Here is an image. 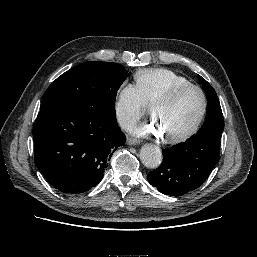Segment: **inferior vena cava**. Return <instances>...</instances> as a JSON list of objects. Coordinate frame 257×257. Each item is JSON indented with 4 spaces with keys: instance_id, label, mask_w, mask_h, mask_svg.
<instances>
[{
    "instance_id": "1",
    "label": "inferior vena cava",
    "mask_w": 257,
    "mask_h": 257,
    "mask_svg": "<svg viewBox=\"0 0 257 257\" xmlns=\"http://www.w3.org/2000/svg\"><path fill=\"white\" fill-rule=\"evenodd\" d=\"M119 123L120 126L125 130H130L135 125L134 120L129 117H121L119 119Z\"/></svg>"
}]
</instances>
